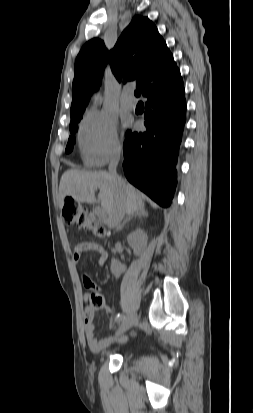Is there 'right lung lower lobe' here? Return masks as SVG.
Instances as JSON below:
<instances>
[{
	"label": "right lung lower lobe",
	"mask_w": 253,
	"mask_h": 413,
	"mask_svg": "<svg viewBox=\"0 0 253 413\" xmlns=\"http://www.w3.org/2000/svg\"><path fill=\"white\" fill-rule=\"evenodd\" d=\"M147 98L146 132L127 131L123 169L130 183L167 207L176 187V159L186 121L185 91L181 84Z\"/></svg>",
	"instance_id": "98d812e1"
}]
</instances>
